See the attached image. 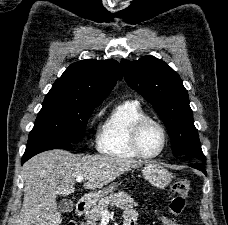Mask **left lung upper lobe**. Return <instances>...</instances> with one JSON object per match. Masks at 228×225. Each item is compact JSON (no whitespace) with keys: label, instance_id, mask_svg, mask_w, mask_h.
Segmentation results:
<instances>
[{"label":"left lung upper lobe","instance_id":"5c2ea615","mask_svg":"<svg viewBox=\"0 0 228 225\" xmlns=\"http://www.w3.org/2000/svg\"><path fill=\"white\" fill-rule=\"evenodd\" d=\"M121 64L128 85L152 104L164 122L171 138L173 155L205 162L188 93L178 73L153 56H144L136 61L122 60Z\"/></svg>","mask_w":228,"mask_h":225}]
</instances>
